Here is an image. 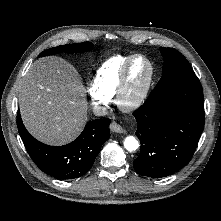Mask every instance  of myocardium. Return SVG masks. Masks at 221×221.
Here are the masks:
<instances>
[{
	"instance_id": "1",
	"label": "myocardium",
	"mask_w": 221,
	"mask_h": 221,
	"mask_svg": "<svg viewBox=\"0 0 221 221\" xmlns=\"http://www.w3.org/2000/svg\"><path fill=\"white\" fill-rule=\"evenodd\" d=\"M137 59H143L147 62L149 66V75L140 93L135 98L128 100L127 90H128L129 74H130V70H131L133 63ZM154 74H155V69H154V65L152 61L143 54H134L127 61L121 73L119 85L115 94V102L117 106L122 111H125V112H132L138 109L147 98V95L149 93V90L151 88V85L154 79Z\"/></svg>"
}]
</instances>
